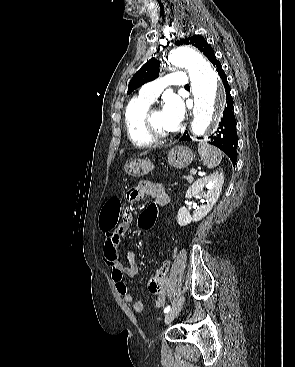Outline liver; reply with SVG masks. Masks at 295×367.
Returning <instances> with one entry per match:
<instances>
[{"mask_svg":"<svg viewBox=\"0 0 295 367\" xmlns=\"http://www.w3.org/2000/svg\"><path fill=\"white\" fill-rule=\"evenodd\" d=\"M144 154H146V152L142 153L141 155H144Z\"/></svg>","mask_w":295,"mask_h":367,"instance_id":"obj_1","label":"liver"}]
</instances>
